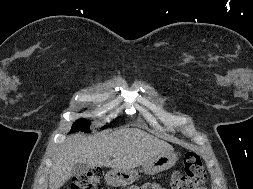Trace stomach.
Listing matches in <instances>:
<instances>
[{
	"mask_svg": "<svg viewBox=\"0 0 253 189\" xmlns=\"http://www.w3.org/2000/svg\"><path fill=\"white\" fill-rule=\"evenodd\" d=\"M177 161V154L172 152H164L156 155L151 160L142 165L144 173L154 175L161 171L167 170L175 165ZM138 178L136 170H111L106 176L105 180L112 186H127L135 182Z\"/></svg>",
	"mask_w": 253,
	"mask_h": 189,
	"instance_id": "0dacf381",
	"label": "stomach"
}]
</instances>
